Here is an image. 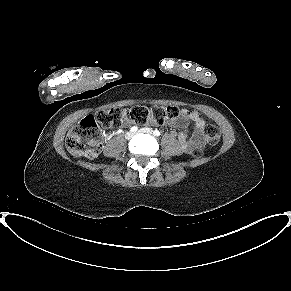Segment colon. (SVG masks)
I'll return each mask as SVG.
<instances>
[{
	"mask_svg": "<svg viewBox=\"0 0 291 291\" xmlns=\"http://www.w3.org/2000/svg\"><path fill=\"white\" fill-rule=\"evenodd\" d=\"M179 115V108L174 106H135L130 109L100 110L95 114L85 116L69 131L66 137V148L76 156L93 158L101 149L102 128L118 126L125 119L137 124H163L176 119ZM204 136L207 144L214 146L219 142L220 130L215 125L208 124L204 127ZM202 155L203 149L201 147L192 151V156L195 158H200Z\"/></svg>",
	"mask_w": 291,
	"mask_h": 291,
	"instance_id": "colon-1",
	"label": "colon"
}]
</instances>
